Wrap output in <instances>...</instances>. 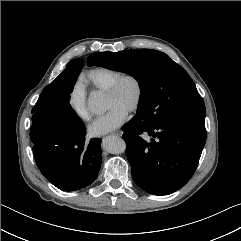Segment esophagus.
Listing matches in <instances>:
<instances>
[{
	"mask_svg": "<svg viewBox=\"0 0 241 241\" xmlns=\"http://www.w3.org/2000/svg\"><path fill=\"white\" fill-rule=\"evenodd\" d=\"M112 134H113V135L120 136L122 133H121V131L118 130V131L113 132Z\"/></svg>",
	"mask_w": 241,
	"mask_h": 241,
	"instance_id": "esophagus-1",
	"label": "esophagus"
}]
</instances>
